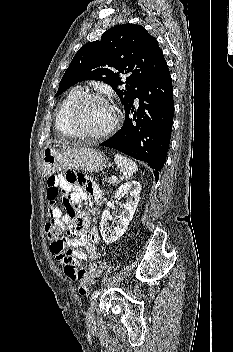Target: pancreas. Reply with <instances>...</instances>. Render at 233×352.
I'll return each instance as SVG.
<instances>
[{
  "mask_svg": "<svg viewBox=\"0 0 233 352\" xmlns=\"http://www.w3.org/2000/svg\"><path fill=\"white\" fill-rule=\"evenodd\" d=\"M103 181H107L109 184H113V185L118 183V181L113 182L110 177L107 178L106 176H105V178L103 179Z\"/></svg>",
  "mask_w": 233,
  "mask_h": 352,
  "instance_id": "cf45deb5",
  "label": "pancreas"
}]
</instances>
